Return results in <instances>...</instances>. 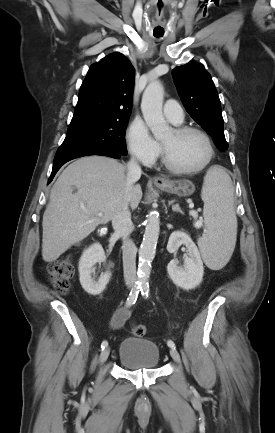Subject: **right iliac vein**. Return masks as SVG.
<instances>
[{
	"label": "right iliac vein",
	"instance_id": "right-iliac-vein-1",
	"mask_svg": "<svg viewBox=\"0 0 275 433\" xmlns=\"http://www.w3.org/2000/svg\"><path fill=\"white\" fill-rule=\"evenodd\" d=\"M109 354H110V348L109 347H106L105 349H103L101 354H100V358H99L100 363H104L108 359Z\"/></svg>",
	"mask_w": 275,
	"mask_h": 433
}]
</instances>
